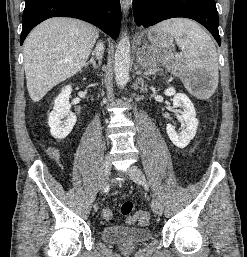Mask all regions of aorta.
Instances as JSON below:
<instances>
[{"label": "aorta", "instance_id": "1", "mask_svg": "<svg viewBox=\"0 0 247 257\" xmlns=\"http://www.w3.org/2000/svg\"><path fill=\"white\" fill-rule=\"evenodd\" d=\"M131 45L127 33H123L115 52L114 72L118 87H124L129 80Z\"/></svg>", "mask_w": 247, "mask_h": 257}]
</instances>
